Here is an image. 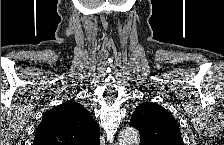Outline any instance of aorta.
<instances>
[{"mask_svg":"<svg viewBox=\"0 0 224 145\" xmlns=\"http://www.w3.org/2000/svg\"><path fill=\"white\" fill-rule=\"evenodd\" d=\"M119 145H139V132L134 127H124L119 133Z\"/></svg>","mask_w":224,"mask_h":145,"instance_id":"762f6f07","label":"aorta"}]
</instances>
